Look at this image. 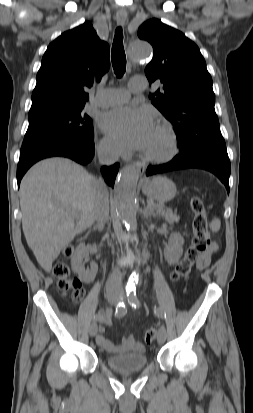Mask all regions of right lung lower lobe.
I'll return each instance as SVG.
<instances>
[{"label": "right lung lower lobe", "instance_id": "98d812e1", "mask_svg": "<svg viewBox=\"0 0 253 413\" xmlns=\"http://www.w3.org/2000/svg\"><path fill=\"white\" fill-rule=\"evenodd\" d=\"M54 156L68 157L80 164L86 165L94 156V143L92 141H61L43 146L34 147L20 152V159L17 166V183L26 171L37 161ZM119 164L110 167H102L101 172L106 183L114 186L115 178L118 173Z\"/></svg>", "mask_w": 253, "mask_h": 413}]
</instances>
